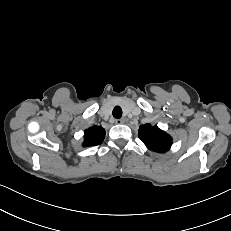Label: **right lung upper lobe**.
I'll use <instances>...</instances> for the list:
<instances>
[{"label": "right lung upper lobe", "instance_id": "right-lung-upper-lobe-1", "mask_svg": "<svg viewBox=\"0 0 231 231\" xmlns=\"http://www.w3.org/2000/svg\"><path fill=\"white\" fill-rule=\"evenodd\" d=\"M105 138V130L101 126H93L85 130L83 146L99 145Z\"/></svg>", "mask_w": 231, "mask_h": 231}]
</instances>
